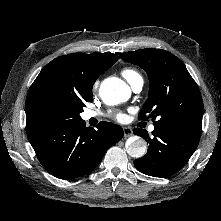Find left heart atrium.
Listing matches in <instances>:
<instances>
[{"instance_id":"39dd6f15","label":"left heart atrium","mask_w":221,"mask_h":221,"mask_svg":"<svg viewBox=\"0 0 221 221\" xmlns=\"http://www.w3.org/2000/svg\"><path fill=\"white\" fill-rule=\"evenodd\" d=\"M111 116H113L118 121H122L124 119V115L120 112L112 113Z\"/></svg>"}]
</instances>
